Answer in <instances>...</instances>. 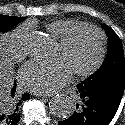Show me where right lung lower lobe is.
<instances>
[{"mask_svg": "<svg viewBox=\"0 0 125 125\" xmlns=\"http://www.w3.org/2000/svg\"><path fill=\"white\" fill-rule=\"evenodd\" d=\"M16 85L11 90V96H13L14 103L11 106H0V125H17L19 121L18 106L22 101L30 98L29 93H24L21 97L15 95Z\"/></svg>", "mask_w": 125, "mask_h": 125, "instance_id": "98d812e1", "label": "right lung lower lobe"}]
</instances>
